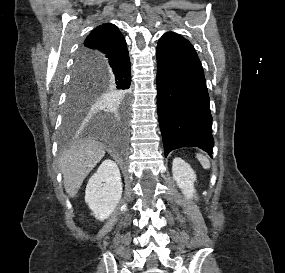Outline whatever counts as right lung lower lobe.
Here are the masks:
<instances>
[{
    "mask_svg": "<svg viewBox=\"0 0 285 273\" xmlns=\"http://www.w3.org/2000/svg\"><path fill=\"white\" fill-rule=\"evenodd\" d=\"M130 59L128 53L118 59L109 61H98L92 64L90 71L101 77L103 84H108L115 90L124 91L129 89L131 84ZM124 114L121 119V126L125 128Z\"/></svg>",
    "mask_w": 285,
    "mask_h": 273,
    "instance_id": "98d812e1",
    "label": "right lung lower lobe"
}]
</instances>
